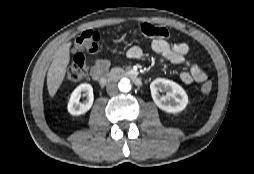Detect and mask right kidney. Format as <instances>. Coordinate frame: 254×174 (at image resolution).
<instances>
[{
    "label": "right kidney",
    "instance_id": "obj_1",
    "mask_svg": "<svg viewBox=\"0 0 254 174\" xmlns=\"http://www.w3.org/2000/svg\"><path fill=\"white\" fill-rule=\"evenodd\" d=\"M87 96L83 102L80 101L81 96ZM94 96L93 88L90 84H80L71 94L68 102V112L72 115H81L86 113L93 105Z\"/></svg>",
    "mask_w": 254,
    "mask_h": 174
}]
</instances>
